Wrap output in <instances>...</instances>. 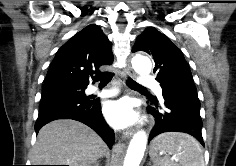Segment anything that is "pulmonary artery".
<instances>
[{"label":"pulmonary artery","mask_w":236,"mask_h":166,"mask_svg":"<svg viewBox=\"0 0 236 166\" xmlns=\"http://www.w3.org/2000/svg\"><path fill=\"white\" fill-rule=\"evenodd\" d=\"M141 86H152L154 87L156 93L161 97L162 96V88L159 86L158 82L150 76H143L140 78ZM89 92L92 94L99 95L101 97H111L117 94V91L112 90H98L94 87L89 89Z\"/></svg>","instance_id":"e3ab8cb5"}]
</instances>
